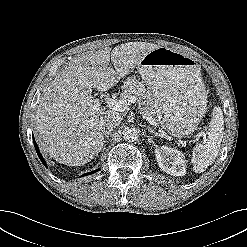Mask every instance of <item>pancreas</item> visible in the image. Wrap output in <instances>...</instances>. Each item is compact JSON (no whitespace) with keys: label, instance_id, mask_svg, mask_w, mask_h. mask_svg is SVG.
Returning a JSON list of instances; mask_svg holds the SVG:
<instances>
[{"label":"pancreas","instance_id":"1","mask_svg":"<svg viewBox=\"0 0 247 247\" xmlns=\"http://www.w3.org/2000/svg\"><path fill=\"white\" fill-rule=\"evenodd\" d=\"M129 96L136 97L139 109L143 115H161L153 94L142 82L136 79H130L123 85L122 98ZM159 123L164 125V120H159Z\"/></svg>","mask_w":247,"mask_h":247}]
</instances>
